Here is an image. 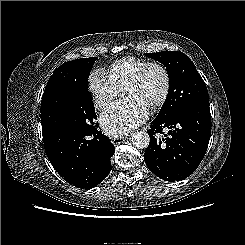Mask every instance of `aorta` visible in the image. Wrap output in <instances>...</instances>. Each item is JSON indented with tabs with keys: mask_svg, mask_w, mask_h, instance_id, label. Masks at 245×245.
<instances>
[{
	"mask_svg": "<svg viewBox=\"0 0 245 245\" xmlns=\"http://www.w3.org/2000/svg\"><path fill=\"white\" fill-rule=\"evenodd\" d=\"M150 142V138L147 132L137 131L131 136V143L138 149L147 148Z\"/></svg>",
	"mask_w": 245,
	"mask_h": 245,
	"instance_id": "aorta-1",
	"label": "aorta"
}]
</instances>
